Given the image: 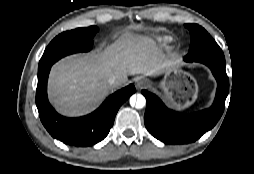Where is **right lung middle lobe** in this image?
Wrapping results in <instances>:
<instances>
[{
  "mask_svg": "<svg viewBox=\"0 0 254 174\" xmlns=\"http://www.w3.org/2000/svg\"><path fill=\"white\" fill-rule=\"evenodd\" d=\"M97 31L96 26H90L59 34L45 49L39 61L38 74L66 55L91 50L93 37Z\"/></svg>",
  "mask_w": 254,
  "mask_h": 174,
  "instance_id": "right-lung-middle-lobe-1",
  "label": "right lung middle lobe"
}]
</instances>
